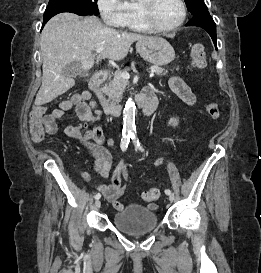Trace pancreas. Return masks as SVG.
<instances>
[{
  "instance_id": "1",
  "label": "pancreas",
  "mask_w": 261,
  "mask_h": 273,
  "mask_svg": "<svg viewBox=\"0 0 261 273\" xmlns=\"http://www.w3.org/2000/svg\"><path fill=\"white\" fill-rule=\"evenodd\" d=\"M150 69L158 76L167 74V71L157 65H152ZM129 70V67H125L123 71H116L112 74L113 79L109 81L108 85H104L102 90L109 97L111 104H116L121 100L122 94L125 91L128 81L123 79L120 74L121 72H127Z\"/></svg>"
}]
</instances>
